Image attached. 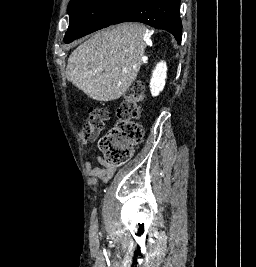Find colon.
Returning <instances> with one entry per match:
<instances>
[{"label": "colon", "mask_w": 256, "mask_h": 267, "mask_svg": "<svg viewBox=\"0 0 256 267\" xmlns=\"http://www.w3.org/2000/svg\"><path fill=\"white\" fill-rule=\"evenodd\" d=\"M143 86L134 85L126 92L118 106L119 121L115 128L100 140V149L110 165H121L129 161L135 146L141 141L142 128L138 123L143 108ZM110 117L108 108L99 107L89 110V119L83 125L84 139H94L106 126Z\"/></svg>", "instance_id": "colon-1"}]
</instances>
